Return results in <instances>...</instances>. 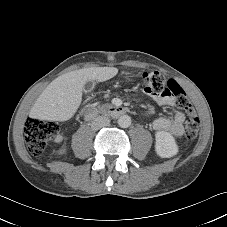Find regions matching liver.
I'll return each instance as SVG.
<instances>
[{
    "instance_id": "obj_1",
    "label": "liver",
    "mask_w": 227,
    "mask_h": 227,
    "mask_svg": "<svg viewBox=\"0 0 227 227\" xmlns=\"http://www.w3.org/2000/svg\"><path fill=\"white\" fill-rule=\"evenodd\" d=\"M117 73L118 69L115 67H91L59 76L37 98L30 116L48 121H67L79 108L87 81L103 82Z\"/></svg>"
}]
</instances>
